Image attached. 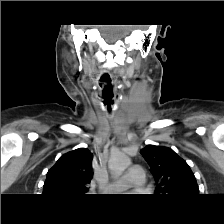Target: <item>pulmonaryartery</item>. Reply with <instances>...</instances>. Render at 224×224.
<instances>
[{
	"label": "pulmonary artery",
	"instance_id": "pulmonary-artery-1",
	"mask_svg": "<svg viewBox=\"0 0 224 224\" xmlns=\"http://www.w3.org/2000/svg\"><path fill=\"white\" fill-rule=\"evenodd\" d=\"M145 184V173L140 166L133 165L127 169L125 174L111 180L105 188L107 192H120L128 187H143Z\"/></svg>",
	"mask_w": 224,
	"mask_h": 224
}]
</instances>
